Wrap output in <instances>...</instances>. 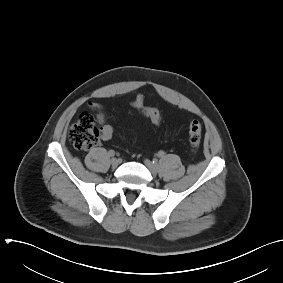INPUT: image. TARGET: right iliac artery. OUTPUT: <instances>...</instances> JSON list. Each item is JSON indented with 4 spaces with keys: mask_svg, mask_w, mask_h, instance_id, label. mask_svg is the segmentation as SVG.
<instances>
[{
    "mask_svg": "<svg viewBox=\"0 0 283 283\" xmlns=\"http://www.w3.org/2000/svg\"><path fill=\"white\" fill-rule=\"evenodd\" d=\"M109 156L114 157L115 156V151L114 150H110L109 151Z\"/></svg>",
    "mask_w": 283,
    "mask_h": 283,
    "instance_id": "right-iliac-artery-1",
    "label": "right iliac artery"
}]
</instances>
